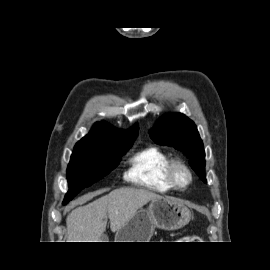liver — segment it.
I'll return each mask as SVG.
<instances>
[{
	"label": "liver",
	"mask_w": 270,
	"mask_h": 270,
	"mask_svg": "<svg viewBox=\"0 0 270 270\" xmlns=\"http://www.w3.org/2000/svg\"><path fill=\"white\" fill-rule=\"evenodd\" d=\"M97 192L89 195L92 198ZM162 196L145 189L120 188L93 202L72 210L66 219L68 242L100 241L106 229L107 218L112 232L122 228L137 211L149 201Z\"/></svg>",
	"instance_id": "1"
}]
</instances>
